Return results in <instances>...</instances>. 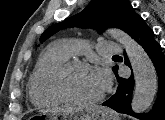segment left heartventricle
<instances>
[{
    "instance_id": "obj_1",
    "label": "left heart ventricle",
    "mask_w": 165,
    "mask_h": 120,
    "mask_svg": "<svg viewBox=\"0 0 165 120\" xmlns=\"http://www.w3.org/2000/svg\"><path fill=\"white\" fill-rule=\"evenodd\" d=\"M66 85L69 93L79 99H91L103 91L91 69L71 71L67 77Z\"/></svg>"
}]
</instances>
